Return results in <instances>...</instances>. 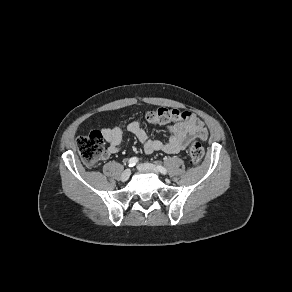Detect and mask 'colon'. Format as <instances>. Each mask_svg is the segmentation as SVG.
I'll list each match as a JSON object with an SVG mask.
<instances>
[{"label": "colon", "instance_id": "colon-1", "mask_svg": "<svg viewBox=\"0 0 292 292\" xmlns=\"http://www.w3.org/2000/svg\"><path fill=\"white\" fill-rule=\"evenodd\" d=\"M183 111L177 109L159 108L151 110L146 114L149 122H168L178 119ZM76 145L82 160L87 165H95L105 156L103 135L100 131L94 130L88 135L76 139ZM189 162L192 165L199 164L204 157V147L200 141L191 143L189 150Z\"/></svg>", "mask_w": 292, "mask_h": 292}]
</instances>
